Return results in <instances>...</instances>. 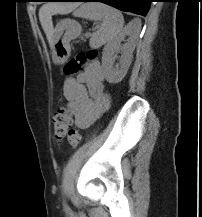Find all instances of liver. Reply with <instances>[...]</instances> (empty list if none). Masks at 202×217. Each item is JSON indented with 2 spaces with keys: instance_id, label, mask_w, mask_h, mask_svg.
Masks as SVG:
<instances>
[{
  "instance_id": "obj_1",
  "label": "liver",
  "mask_w": 202,
  "mask_h": 217,
  "mask_svg": "<svg viewBox=\"0 0 202 217\" xmlns=\"http://www.w3.org/2000/svg\"><path fill=\"white\" fill-rule=\"evenodd\" d=\"M77 7V4H45L39 10V20L41 26L47 36L50 47L53 44V24L52 15L55 14H68Z\"/></svg>"
}]
</instances>
